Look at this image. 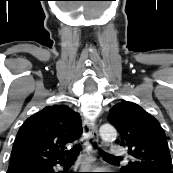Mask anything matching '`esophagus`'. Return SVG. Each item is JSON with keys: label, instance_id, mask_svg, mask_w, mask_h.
Wrapping results in <instances>:
<instances>
[{"label": "esophagus", "instance_id": "34e87169", "mask_svg": "<svg viewBox=\"0 0 173 173\" xmlns=\"http://www.w3.org/2000/svg\"><path fill=\"white\" fill-rule=\"evenodd\" d=\"M84 136L87 139V143L84 146L85 161L84 164L89 168H94V163L96 161L97 148L93 146L92 142L98 146L99 144V134L96 124H89L86 121L83 123Z\"/></svg>", "mask_w": 173, "mask_h": 173}]
</instances>
